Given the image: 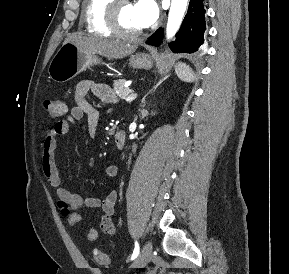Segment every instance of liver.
Here are the masks:
<instances>
[{
	"instance_id": "1",
	"label": "liver",
	"mask_w": 289,
	"mask_h": 274,
	"mask_svg": "<svg viewBox=\"0 0 289 274\" xmlns=\"http://www.w3.org/2000/svg\"><path fill=\"white\" fill-rule=\"evenodd\" d=\"M65 42H71L77 45L80 49L92 54H99L108 58L120 59L132 54L136 51V45L109 41L97 37H86L78 34L67 36ZM64 42V43H65Z\"/></svg>"
}]
</instances>
